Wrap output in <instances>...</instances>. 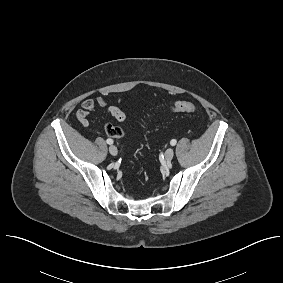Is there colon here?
Returning a JSON list of instances; mask_svg holds the SVG:
<instances>
[{
  "label": "colon",
  "mask_w": 283,
  "mask_h": 283,
  "mask_svg": "<svg viewBox=\"0 0 283 283\" xmlns=\"http://www.w3.org/2000/svg\"><path fill=\"white\" fill-rule=\"evenodd\" d=\"M169 111L172 113H195L197 107L191 102L179 101L171 105ZM105 132L112 137H117L119 134L118 127L111 124L105 125Z\"/></svg>",
  "instance_id": "colon-1"
}]
</instances>
